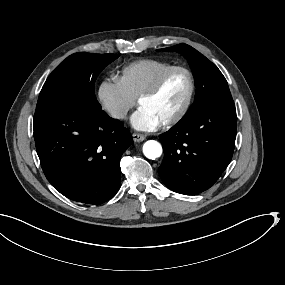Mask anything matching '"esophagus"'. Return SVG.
Wrapping results in <instances>:
<instances>
[{
	"label": "esophagus",
	"instance_id": "esophagus-1",
	"mask_svg": "<svg viewBox=\"0 0 285 285\" xmlns=\"http://www.w3.org/2000/svg\"><path fill=\"white\" fill-rule=\"evenodd\" d=\"M132 137H133V140L136 142H141L146 139L145 135L139 134V133H133Z\"/></svg>",
	"mask_w": 285,
	"mask_h": 285
}]
</instances>
